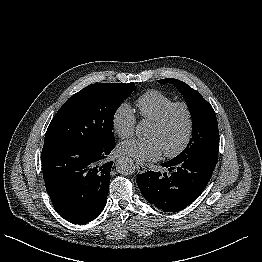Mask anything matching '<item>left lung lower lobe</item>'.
Returning <instances> with one entry per match:
<instances>
[{"label":"left lung lower lobe","mask_w":262,"mask_h":262,"mask_svg":"<svg viewBox=\"0 0 262 262\" xmlns=\"http://www.w3.org/2000/svg\"><path fill=\"white\" fill-rule=\"evenodd\" d=\"M216 163V157L174 158L161 164L171 174L148 171L138 175L137 184L149 203L166 212H177L202 194Z\"/></svg>","instance_id":"1"}]
</instances>
